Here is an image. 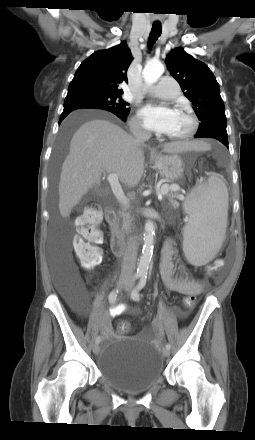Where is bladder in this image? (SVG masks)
I'll return each mask as SVG.
<instances>
[{"mask_svg":"<svg viewBox=\"0 0 255 440\" xmlns=\"http://www.w3.org/2000/svg\"><path fill=\"white\" fill-rule=\"evenodd\" d=\"M98 370L111 388L127 394H139L161 379L164 361L150 343L137 337H122L105 342Z\"/></svg>","mask_w":255,"mask_h":440,"instance_id":"31cf9c89","label":"bladder"}]
</instances>
